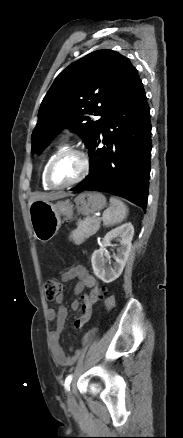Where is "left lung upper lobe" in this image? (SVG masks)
Returning <instances> with one entry per match:
<instances>
[{"label": "left lung upper lobe", "mask_w": 183, "mask_h": 438, "mask_svg": "<svg viewBox=\"0 0 183 438\" xmlns=\"http://www.w3.org/2000/svg\"><path fill=\"white\" fill-rule=\"evenodd\" d=\"M138 78L129 59L113 50H98L70 64L45 95L31 136L32 153L40 154L55 133L70 127L87 147L109 111ZM91 115H102L92 120Z\"/></svg>", "instance_id": "5c2ea615"}]
</instances>
